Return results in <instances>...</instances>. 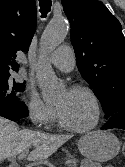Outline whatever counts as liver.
I'll list each match as a JSON object with an SVG mask.
<instances>
[{"label": "liver", "mask_w": 125, "mask_h": 167, "mask_svg": "<svg viewBox=\"0 0 125 167\" xmlns=\"http://www.w3.org/2000/svg\"><path fill=\"white\" fill-rule=\"evenodd\" d=\"M70 138V135H50L29 129L20 130L16 123L0 117V162L20 154L31 145H34L35 149L30 152L27 159L45 160Z\"/></svg>", "instance_id": "1"}]
</instances>
